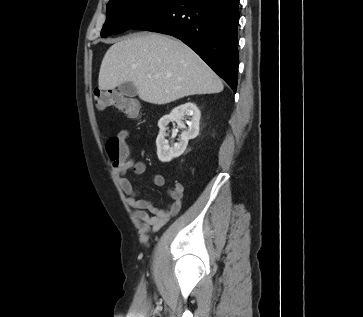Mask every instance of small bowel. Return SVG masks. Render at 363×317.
Instances as JSON below:
<instances>
[{
    "label": "small bowel",
    "mask_w": 363,
    "mask_h": 317,
    "mask_svg": "<svg viewBox=\"0 0 363 317\" xmlns=\"http://www.w3.org/2000/svg\"><path fill=\"white\" fill-rule=\"evenodd\" d=\"M123 142L127 145V138L129 132L122 130L119 133ZM113 170L116 174L118 183L126 195L127 204L134 209V217L140 222V226L146 230H158L170 218L176 216L182 206V199L184 195V187L181 183L177 182L168 191L172 202L167 208H160L155 205L151 200L139 198L138 191L133 187L131 181L128 179L127 172L133 170L137 175H142L146 172V165L143 162L135 161L130 157L129 152L124 161L118 165H113ZM152 183L155 186H163L165 178L162 174H153Z\"/></svg>",
    "instance_id": "small-bowel-1"
}]
</instances>
